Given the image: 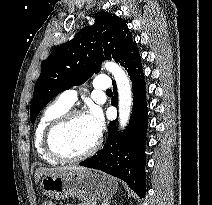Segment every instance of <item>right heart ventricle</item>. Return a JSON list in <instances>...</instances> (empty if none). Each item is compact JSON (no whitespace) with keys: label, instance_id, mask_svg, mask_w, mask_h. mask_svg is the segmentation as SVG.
I'll use <instances>...</instances> for the list:
<instances>
[{"label":"right heart ventricle","instance_id":"1","mask_svg":"<svg viewBox=\"0 0 212 205\" xmlns=\"http://www.w3.org/2000/svg\"><path fill=\"white\" fill-rule=\"evenodd\" d=\"M70 107L64 105L59 100L50 104L41 114L34 132V146L38 155L46 162L55 164L58 161L52 158L44 148V135L48 126L60 115L68 111Z\"/></svg>","mask_w":212,"mask_h":205}]
</instances>
